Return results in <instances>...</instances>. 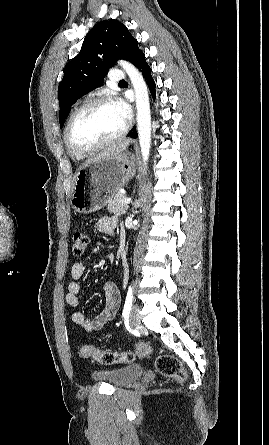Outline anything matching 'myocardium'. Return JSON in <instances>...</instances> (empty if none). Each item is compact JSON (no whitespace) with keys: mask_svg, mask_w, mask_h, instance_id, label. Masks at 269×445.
<instances>
[{"mask_svg":"<svg viewBox=\"0 0 269 445\" xmlns=\"http://www.w3.org/2000/svg\"><path fill=\"white\" fill-rule=\"evenodd\" d=\"M107 103H113V101L111 100V98L106 97V96H99V97H95L92 98L90 100H88L87 102H85L84 104H82L80 107H78L69 117L66 126H65V130H64V142L66 145V148L68 149V151L76 157H87L90 155H93L97 152H99L100 150L106 148L109 145H112L114 143H116L117 141L121 140L129 131V122H126L125 126L123 127V129L114 137L103 141L102 143L98 144L95 147L89 148V149H79L77 147H75L71 140H70V131H71V127L72 124L74 122V120L84 111L97 106V105H101V104H107Z\"/></svg>","mask_w":269,"mask_h":445,"instance_id":"1","label":"myocardium"}]
</instances>
